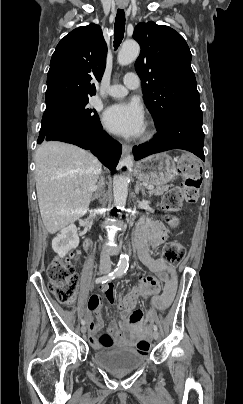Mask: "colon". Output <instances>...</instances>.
<instances>
[{
  "label": "colon",
  "instance_id": "obj_1",
  "mask_svg": "<svg viewBox=\"0 0 243 404\" xmlns=\"http://www.w3.org/2000/svg\"><path fill=\"white\" fill-rule=\"evenodd\" d=\"M179 172L183 176V182L180 186L169 189L163 196L162 205L168 212L167 221L175 222L174 213L177 212L184 201L189 203L196 202L202 182L200 169L191 155H183L179 161ZM185 248L177 242H169L165 245L163 251L164 261L170 265L176 266L182 262L185 257ZM78 259L77 253H71L66 258H55L47 268V277L49 279V290L55 298L66 306H71L75 301V292L78 283V275L75 271V261ZM159 291V283L153 276L145 277L140 287L130 291L124 296L119 307L123 315L129 317L134 311L137 302L141 296L153 295ZM114 344L112 338L108 335L102 336L97 345L102 348H110ZM141 351H149L150 341L143 337L137 343Z\"/></svg>",
  "mask_w": 243,
  "mask_h": 404
}]
</instances>
